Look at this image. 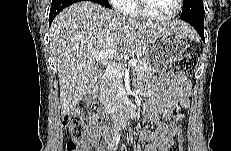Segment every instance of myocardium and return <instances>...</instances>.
Segmentation results:
<instances>
[{
    "mask_svg": "<svg viewBox=\"0 0 231 151\" xmlns=\"http://www.w3.org/2000/svg\"><path fill=\"white\" fill-rule=\"evenodd\" d=\"M182 3V0H175V10L172 14L164 17H156L148 14V12L145 9L144 0H136V11L138 15L146 21L154 23H166L177 17V15L181 11Z\"/></svg>",
    "mask_w": 231,
    "mask_h": 151,
    "instance_id": "myocardium-1",
    "label": "myocardium"
}]
</instances>
